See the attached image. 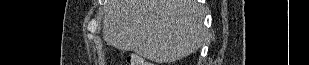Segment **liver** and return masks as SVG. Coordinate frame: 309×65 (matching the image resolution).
<instances>
[{
    "label": "liver",
    "mask_w": 309,
    "mask_h": 65,
    "mask_svg": "<svg viewBox=\"0 0 309 65\" xmlns=\"http://www.w3.org/2000/svg\"><path fill=\"white\" fill-rule=\"evenodd\" d=\"M202 6L196 0H108L103 38L121 51L172 62L203 44Z\"/></svg>",
    "instance_id": "obj_1"
}]
</instances>
